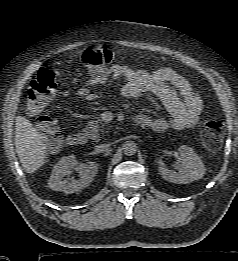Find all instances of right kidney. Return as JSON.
I'll list each match as a JSON object with an SVG mask.
<instances>
[{
    "label": "right kidney",
    "instance_id": "obj_1",
    "mask_svg": "<svg viewBox=\"0 0 238 261\" xmlns=\"http://www.w3.org/2000/svg\"><path fill=\"white\" fill-rule=\"evenodd\" d=\"M72 170H77L80 179L67 181L66 175ZM98 171V164L93 161L82 163L74 155L65 156L54 166L48 185L52 190L63 191L67 194L81 191L94 179Z\"/></svg>",
    "mask_w": 238,
    "mask_h": 261
}]
</instances>
